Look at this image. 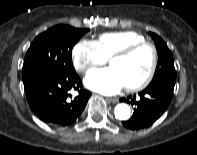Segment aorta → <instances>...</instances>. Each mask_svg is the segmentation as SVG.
I'll list each match as a JSON object with an SVG mask.
<instances>
[{
    "label": "aorta",
    "mask_w": 197,
    "mask_h": 155,
    "mask_svg": "<svg viewBox=\"0 0 197 155\" xmlns=\"http://www.w3.org/2000/svg\"><path fill=\"white\" fill-rule=\"evenodd\" d=\"M130 107L125 103H120L116 105L114 113L115 118L118 120H127L130 118Z\"/></svg>",
    "instance_id": "1"
}]
</instances>
